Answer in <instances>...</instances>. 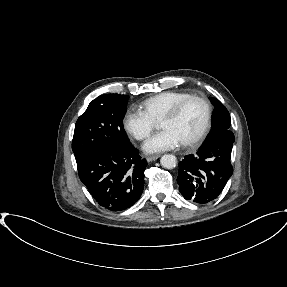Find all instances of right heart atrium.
<instances>
[{"label": "right heart atrium", "instance_id": "right-heart-atrium-1", "mask_svg": "<svg viewBox=\"0 0 287 287\" xmlns=\"http://www.w3.org/2000/svg\"><path fill=\"white\" fill-rule=\"evenodd\" d=\"M123 126L135 139L144 140L154 129L155 121L141 109H129L123 118Z\"/></svg>", "mask_w": 287, "mask_h": 287}]
</instances>
